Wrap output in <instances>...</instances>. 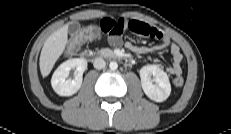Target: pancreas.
Listing matches in <instances>:
<instances>
[{
    "label": "pancreas",
    "instance_id": "cf45deb5",
    "mask_svg": "<svg viewBox=\"0 0 231 134\" xmlns=\"http://www.w3.org/2000/svg\"><path fill=\"white\" fill-rule=\"evenodd\" d=\"M99 53H100L101 55H103V56H109V57L114 56L113 51L110 50L109 48L101 49V50L99 51Z\"/></svg>",
    "mask_w": 231,
    "mask_h": 134
}]
</instances>
